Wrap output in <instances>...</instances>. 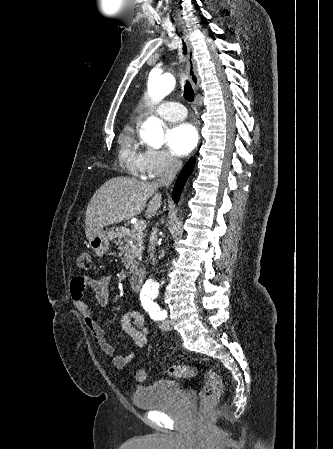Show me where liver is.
I'll list each match as a JSON object with an SVG mask.
<instances>
[{
  "instance_id": "6515ba94",
  "label": "liver",
  "mask_w": 333,
  "mask_h": 449,
  "mask_svg": "<svg viewBox=\"0 0 333 449\" xmlns=\"http://www.w3.org/2000/svg\"><path fill=\"white\" fill-rule=\"evenodd\" d=\"M160 185L144 183L128 177H115L106 181L91 198L85 219L88 240L105 226L120 223L139 215L147 206L146 218L155 215L162 204L157 193ZM152 197L147 205V200Z\"/></svg>"
}]
</instances>
